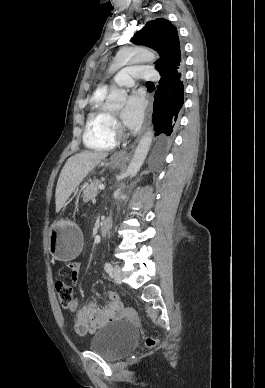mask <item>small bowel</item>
Instances as JSON below:
<instances>
[{"label":"small bowel","instance_id":"1","mask_svg":"<svg viewBox=\"0 0 265 388\" xmlns=\"http://www.w3.org/2000/svg\"><path fill=\"white\" fill-rule=\"evenodd\" d=\"M66 267L68 278L75 284L81 271L80 263L71 261L66 264ZM69 309L75 314L73 326L79 335L94 333L108 322L117 320L122 312L120 304H101L95 300L89 301L81 307L78 306L77 300H74Z\"/></svg>","mask_w":265,"mask_h":388}]
</instances>
